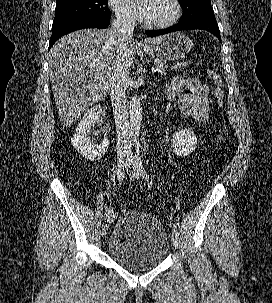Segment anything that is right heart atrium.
<instances>
[{"label":"right heart atrium","mask_w":272,"mask_h":303,"mask_svg":"<svg viewBox=\"0 0 272 303\" xmlns=\"http://www.w3.org/2000/svg\"><path fill=\"white\" fill-rule=\"evenodd\" d=\"M109 5L118 21L126 24H131L134 22V12L131 10L126 0H109Z\"/></svg>","instance_id":"right-heart-atrium-1"}]
</instances>
